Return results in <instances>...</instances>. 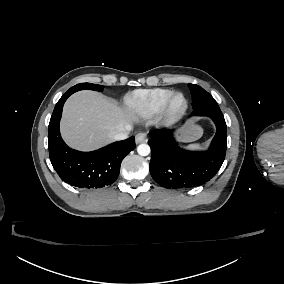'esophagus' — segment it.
<instances>
[{"label":"esophagus","mask_w":284,"mask_h":284,"mask_svg":"<svg viewBox=\"0 0 284 284\" xmlns=\"http://www.w3.org/2000/svg\"><path fill=\"white\" fill-rule=\"evenodd\" d=\"M146 139H147V134L143 132H140L135 136V141L137 144L146 141Z\"/></svg>","instance_id":"obj_1"}]
</instances>
